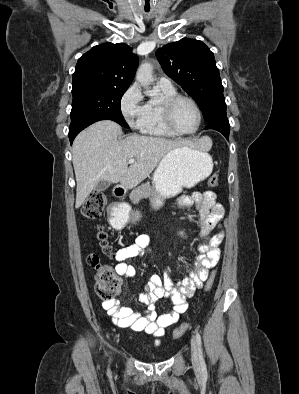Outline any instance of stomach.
<instances>
[{"mask_svg": "<svg viewBox=\"0 0 299 394\" xmlns=\"http://www.w3.org/2000/svg\"><path fill=\"white\" fill-rule=\"evenodd\" d=\"M212 158L206 152L180 146L169 151L156 168L152 184L157 196L152 198L154 207H160L164 198L179 194L183 187H193L212 172ZM138 218V215L135 216ZM129 218V217H128Z\"/></svg>", "mask_w": 299, "mask_h": 394, "instance_id": "0dacf381", "label": "stomach"}]
</instances>
